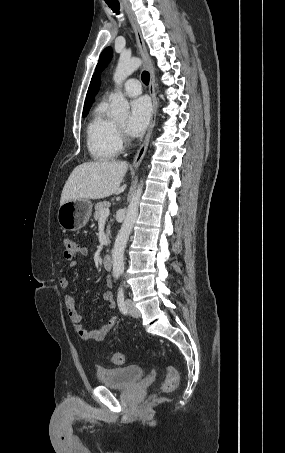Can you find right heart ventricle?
<instances>
[{
    "instance_id": "1",
    "label": "right heart ventricle",
    "mask_w": 285,
    "mask_h": 453,
    "mask_svg": "<svg viewBox=\"0 0 285 453\" xmlns=\"http://www.w3.org/2000/svg\"><path fill=\"white\" fill-rule=\"evenodd\" d=\"M107 102H100L87 126V148L96 160H109L119 155L122 142L117 123L106 115Z\"/></svg>"
}]
</instances>
